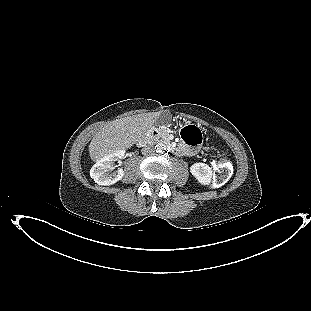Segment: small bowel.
<instances>
[{
	"mask_svg": "<svg viewBox=\"0 0 311 311\" xmlns=\"http://www.w3.org/2000/svg\"><path fill=\"white\" fill-rule=\"evenodd\" d=\"M192 128H193V130H194L195 132H199V130H198L196 127H193V126H192ZM184 141H185V140H184ZM185 144H186V145H190L187 141H185ZM181 151L184 152V153H193V151L190 150L189 148H187V146H185V145L182 146Z\"/></svg>",
	"mask_w": 311,
	"mask_h": 311,
	"instance_id": "c3829d8e",
	"label": "small bowel"
}]
</instances>
